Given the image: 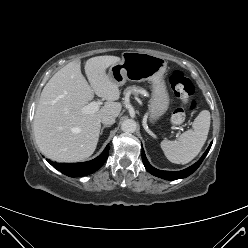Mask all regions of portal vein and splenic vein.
<instances>
[{
	"instance_id": "18ae733b",
	"label": "portal vein and splenic vein",
	"mask_w": 248,
	"mask_h": 248,
	"mask_svg": "<svg viewBox=\"0 0 248 248\" xmlns=\"http://www.w3.org/2000/svg\"><path fill=\"white\" fill-rule=\"evenodd\" d=\"M101 102L93 101L82 108V112L85 114L94 113L99 110Z\"/></svg>"
}]
</instances>
